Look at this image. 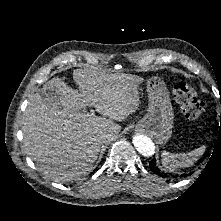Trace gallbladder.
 Wrapping results in <instances>:
<instances>
[{"instance_id":"bac80fb5","label":"gallbladder","mask_w":221,"mask_h":221,"mask_svg":"<svg viewBox=\"0 0 221 221\" xmlns=\"http://www.w3.org/2000/svg\"><path fill=\"white\" fill-rule=\"evenodd\" d=\"M42 99L45 100L47 104H53L57 102V97L51 92L39 90Z\"/></svg>"}]
</instances>
